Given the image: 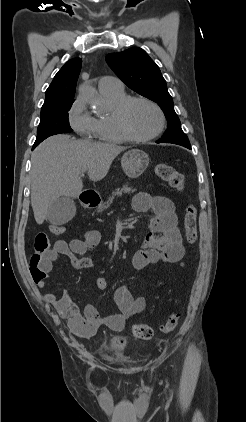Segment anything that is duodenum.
Listing matches in <instances>:
<instances>
[{
	"mask_svg": "<svg viewBox=\"0 0 246 422\" xmlns=\"http://www.w3.org/2000/svg\"><path fill=\"white\" fill-rule=\"evenodd\" d=\"M82 201L87 208H94L99 204V198L94 195H86L82 198Z\"/></svg>",
	"mask_w": 246,
	"mask_h": 422,
	"instance_id": "obj_1",
	"label": "duodenum"
}]
</instances>
